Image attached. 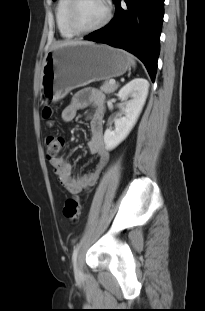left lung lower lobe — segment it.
Segmentation results:
<instances>
[{"label": "left lung lower lobe", "mask_w": 205, "mask_h": 311, "mask_svg": "<svg viewBox=\"0 0 205 311\" xmlns=\"http://www.w3.org/2000/svg\"><path fill=\"white\" fill-rule=\"evenodd\" d=\"M114 18L103 28L84 39L124 49L137 56L154 81L160 51V34L164 15V0H114Z\"/></svg>", "instance_id": "0a47b994"}]
</instances>
